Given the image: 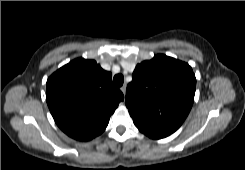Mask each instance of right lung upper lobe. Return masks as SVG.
<instances>
[{"label": "right lung upper lobe", "mask_w": 245, "mask_h": 170, "mask_svg": "<svg viewBox=\"0 0 245 170\" xmlns=\"http://www.w3.org/2000/svg\"><path fill=\"white\" fill-rule=\"evenodd\" d=\"M123 99L112 83V74L94 60L75 59L47 80L50 112L59 128L76 140L100 135Z\"/></svg>", "instance_id": "1"}]
</instances>
